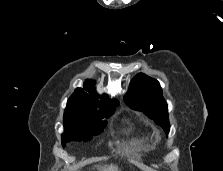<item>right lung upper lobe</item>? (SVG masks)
Instances as JSON below:
<instances>
[{
	"label": "right lung upper lobe",
	"instance_id": "right-lung-upper-lobe-1",
	"mask_svg": "<svg viewBox=\"0 0 223 171\" xmlns=\"http://www.w3.org/2000/svg\"><path fill=\"white\" fill-rule=\"evenodd\" d=\"M94 83L87 81L84 85V90L88 91L89 93L85 92L81 88H77L75 92L72 94V96L69 98L67 107L70 108H97V106H107L114 107L117 106L119 103L116 99H113L110 101V103L105 100L104 98H101L102 101H99L97 98L99 95L93 88Z\"/></svg>",
	"mask_w": 223,
	"mask_h": 171
}]
</instances>
